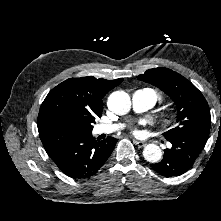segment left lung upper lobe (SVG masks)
Returning a JSON list of instances; mask_svg holds the SVG:
<instances>
[{"instance_id": "obj_1", "label": "left lung upper lobe", "mask_w": 221, "mask_h": 221, "mask_svg": "<svg viewBox=\"0 0 221 221\" xmlns=\"http://www.w3.org/2000/svg\"><path fill=\"white\" fill-rule=\"evenodd\" d=\"M137 78L158 87L174 102L177 125L164 133L167 140L193 132H209V106L189 80L168 68L150 69Z\"/></svg>"}]
</instances>
